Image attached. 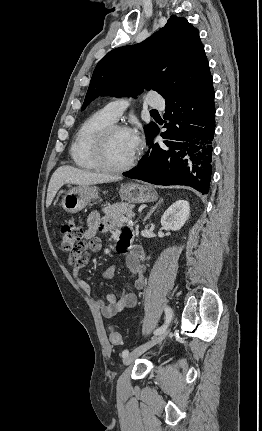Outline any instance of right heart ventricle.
Masks as SVG:
<instances>
[{"instance_id": "right-heart-ventricle-1", "label": "right heart ventricle", "mask_w": 262, "mask_h": 431, "mask_svg": "<svg viewBox=\"0 0 262 431\" xmlns=\"http://www.w3.org/2000/svg\"><path fill=\"white\" fill-rule=\"evenodd\" d=\"M114 122L102 109L80 125L70 147L71 158L77 167L87 171L100 170L94 158L95 141L99 132Z\"/></svg>"}]
</instances>
